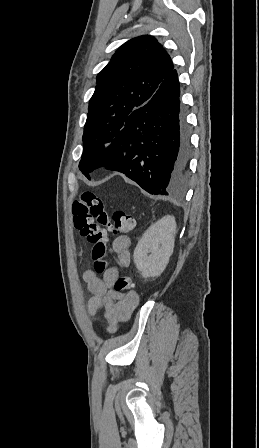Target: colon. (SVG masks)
<instances>
[{"mask_svg": "<svg viewBox=\"0 0 259 448\" xmlns=\"http://www.w3.org/2000/svg\"><path fill=\"white\" fill-rule=\"evenodd\" d=\"M73 222L80 235L91 244L94 272L102 274L107 269L106 253L108 233L125 234L135 227L132 214L117 210L107 213L101 198L92 191H84L72 205ZM117 291L132 293L130 277L121 275L114 283Z\"/></svg>", "mask_w": 259, "mask_h": 448, "instance_id": "5ec220e1", "label": "colon"}]
</instances>
